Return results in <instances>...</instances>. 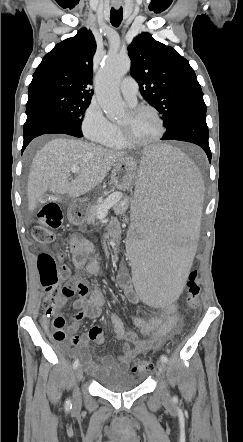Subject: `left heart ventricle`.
Returning <instances> with one entry per match:
<instances>
[{
  "mask_svg": "<svg viewBox=\"0 0 243 442\" xmlns=\"http://www.w3.org/2000/svg\"><path fill=\"white\" fill-rule=\"evenodd\" d=\"M134 141H145L155 137L159 131L158 121L152 112L132 114L129 110L120 121Z\"/></svg>",
  "mask_w": 243,
  "mask_h": 442,
  "instance_id": "obj_1",
  "label": "left heart ventricle"
}]
</instances>
